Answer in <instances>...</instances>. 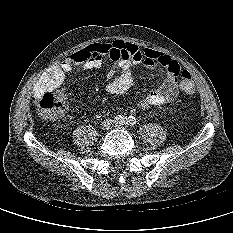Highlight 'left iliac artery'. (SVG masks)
Instances as JSON below:
<instances>
[{
    "mask_svg": "<svg viewBox=\"0 0 233 233\" xmlns=\"http://www.w3.org/2000/svg\"><path fill=\"white\" fill-rule=\"evenodd\" d=\"M126 124H127L128 126H134V125L136 124V119H135V117L129 116L128 119H127V121H126Z\"/></svg>",
    "mask_w": 233,
    "mask_h": 233,
    "instance_id": "obj_1",
    "label": "left iliac artery"
}]
</instances>
